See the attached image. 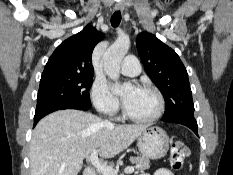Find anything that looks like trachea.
Wrapping results in <instances>:
<instances>
[{
	"instance_id": "trachea-1",
	"label": "trachea",
	"mask_w": 233,
	"mask_h": 175,
	"mask_svg": "<svg viewBox=\"0 0 233 175\" xmlns=\"http://www.w3.org/2000/svg\"><path fill=\"white\" fill-rule=\"evenodd\" d=\"M120 22H121V13L120 11H115L111 17V25L113 27H117L119 26Z\"/></svg>"
}]
</instances>
